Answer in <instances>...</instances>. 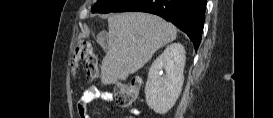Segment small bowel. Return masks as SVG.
<instances>
[{
	"label": "small bowel",
	"instance_id": "1",
	"mask_svg": "<svg viewBox=\"0 0 273 118\" xmlns=\"http://www.w3.org/2000/svg\"><path fill=\"white\" fill-rule=\"evenodd\" d=\"M95 98H102L103 100L107 102H112L113 97L112 94L109 92H100L96 87L90 86L88 87L83 94L81 95L80 99L77 103V110L79 113L80 118H89L88 113V107L89 104L95 99ZM129 114L131 115H138L139 111L136 108H132L129 110Z\"/></svg>",
	"mask_w": 273,
	"mask_h": 118
}]
</instances>
